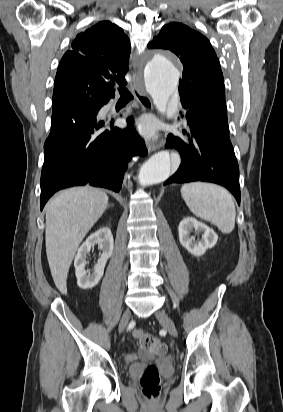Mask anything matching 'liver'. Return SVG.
Segmentation results:
<instances>
[{"mask_svg": "<svg viewBox=\"0 0 283 412\" xmlns=\"http://www.w3.org/2000/svg\"><path fill=\"white\" fill-rule=\"evenodd\" d=\"M108 205L107 194L90 186L60 192L46 206V254L58 290L67 294V275L76 251Z\"/></svg>", "mask_w": 283, "mask_h": 412, "instance_id": "6515ba94", "label": "liver"}]
</instances>
